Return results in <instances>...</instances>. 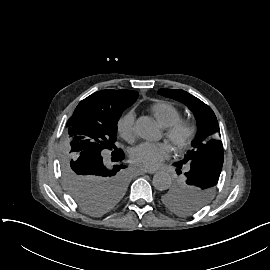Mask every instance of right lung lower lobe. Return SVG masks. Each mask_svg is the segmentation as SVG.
I'll return each instance as SVG.
<instances>
[{
	"mask_svg": "<svg viewBox=\"0 0 270 270\" xmlns=\"http://www.w3.org/2000/svg\"><path fill=\"white\" fill-rule=\"evenodd\" d=\"M115 163L116 162H114V163H108L107 165H105L104 163V165L107 167V168H109L112 164H114L115 165ZM115 166H117V167H119V168H121L122 167V169L120 170V171H124L123 169H125L126 168V166L125 165H123V163L121 164V165H115Z\"/></svg>",
	"mask_w": 270,
	"mask_h": 270,
	"instance_id": "1",
	"label": "right lung lower lobe"
}]
</instances>
